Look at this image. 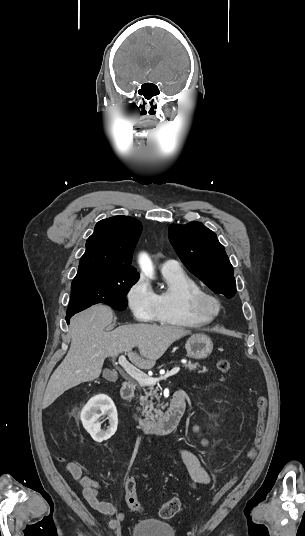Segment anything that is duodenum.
Wrapping results in <instances>:
<instances>
[{
  "label": "duodenum",
  "mask_w": 305,
  "mask_h": 536,
  "mask_svg": "<svg viewBox=\"0 0 305 536\" xmlns=\"http://www.w3.org/2000/svg\"><path fill=\"white\" fill-rule=\"evenodd\" d=\"M134 395V388L131 383H125L121 388V397L128 402ZM186 404V395L183 391H176L170 401L167 412L156 422H148L144 419L134 416V420L140 431L151 436L166 435L173 431L184 413Z\"/></svg>",
  "instance_id": "1"
}]
</instances>
